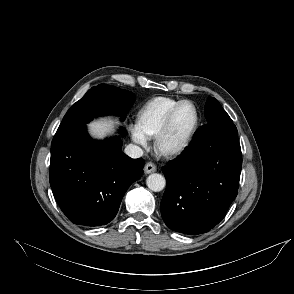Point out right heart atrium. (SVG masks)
<instances>
[{
	"label": "right heart atrium",
	"instance_id": "right-heart-atrium-1",
	"mask_svg": "<svg viewBox=\"0 0 294 294\" xmlns=\"http://www.w3.org/2000/svg\"><path fill=\"white\" fill-rule=\"evenodd\" d=\"M130 133H131V136H132V139L142 145V146H145L146 145V138L142 136V134L139 132V130L137 129V127H131L130 128Z\"/></svg>",
	"mask_w": 294,
	"mask_h": 294
}]
</instances>
